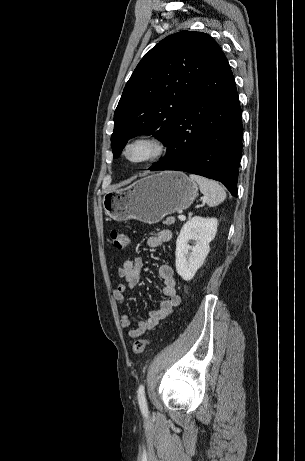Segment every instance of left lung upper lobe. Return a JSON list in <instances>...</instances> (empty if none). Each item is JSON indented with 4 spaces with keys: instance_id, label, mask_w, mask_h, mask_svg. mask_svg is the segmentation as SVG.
Segmentation results:
<instances>
[{
    "instance_id": "5c2ea615",
    "label": "left lung upper lobe",
    "mask_w": 305,
    "mask_h": 461,
    "mask_svg": "<svg viewBox=\"0 0 305 461\" xmlns=\"http://www.w3.org/2000/svg\"><path fill=\"white\" fill-rule=\"evenodd\" d=\"M221 53L210 35L194 31L172 34L153 47L137 65L115 110L113 157L142 133L166 145L190 93Z\"/></svg>"
}]
</instances>
